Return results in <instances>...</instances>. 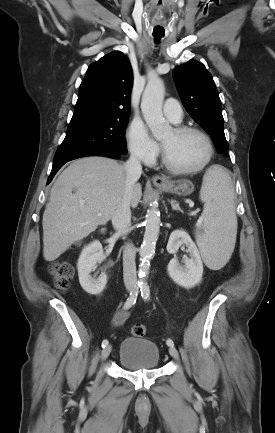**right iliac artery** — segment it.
Returning <instances> with one entry per match:
<instances>
[{
    "label": "right iliac artery",
    "instance_id": "right-iliac-artery-1",
    "mask_svg": "<svg viewBox=\"0 0 275 433\" xmlns=\"http://www.w3.org/2000/svg\"><path fill=\"white\" fill-rule=\"evenodd\" d=\"M136 297H137V292H131L130 296L128 297L127 301L124 304V309H129L132 305L135 304L136 302ZM108 345V340L104 339L102 341V347L105 348Z\"/></svg>",
    "mask_w": 275,
    "mask_h": 433
}]
</instances>
